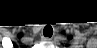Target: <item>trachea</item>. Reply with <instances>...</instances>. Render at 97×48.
I'll use <instances>...</instances> for the list:
<instances>
[{
  "instance_id": "obj_1",
  "label": "trachea",
  "mask_w": 97,
  "mask_h": 48,
  "mask_svg": "<svg viewBox=\"0 0 97 48\" xmlns=\"http://www.w3.org/2000/svg\"><path fill=\"white\" fill-rule=\"evenodd\" d=\"M43 34L46 37H51L53 35V29L51 26H46L43 30Z\"/></svg>"
}]
</instances>
